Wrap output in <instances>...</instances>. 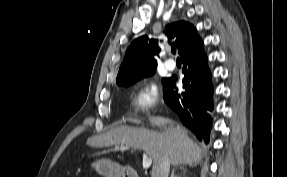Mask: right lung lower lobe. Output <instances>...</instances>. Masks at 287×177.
Returning a JSON list of instances; mask_svg holds the SVG:
<instances>
[{"label": "right lung lower lobe", "mask_w": 287, "mask_h": 177, "mask_svg": "<svg viewBox=\"0 0 287 177\" xmlns=\"http://www.w3.org/2000/svg\"><path fill=\"white\" fill-rule=\"evenodd\" d=\"M203 43L197 33L181 54L183 62V90L178 92L177 76L163 79L164 100L198 138L209 141L212 118L208 111L213 109L211 75Z\"/></svg>", "instance_id": "1"}]
</instances>
